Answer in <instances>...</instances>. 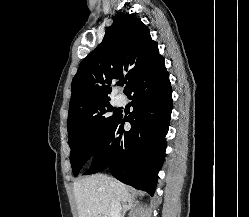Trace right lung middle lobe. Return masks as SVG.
<instances>
[{
  "label": "right lung middle lobe",
  "mask_w": 249,
  "mask_h": 217,
  "mask_svg": "<svg viewBox=\"0 0 249 217\" xmlns=\"http://www.w3.org/2000/svg\"><path fill=\"white\" fill-rule=\"evenodd\" d=\"M120 114L107 100L68 118V144L74 175L100 150Z\"/></svg>",
  "instance_id": "obj_1"
}]
</instances>
